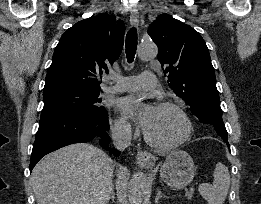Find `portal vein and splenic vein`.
Listing matches in <instances>:
<instances>
[{
  "mask_svg": "<svg viewBox=\"0 0 261 204\" xmlns=\"http://www.w3.org/2000/svg\"><path fill=\"white\" fill-rule=\"evenodd\" d=\"M193 194H194V187H190V188L187 190L185 196L187 197L188 200H191L192 197H193Z\"/></svg>",
  "mask_w": 261,
  "mask_h": 204,
  "instance_id": "18ae733b",
  "label": "portal vein and splenic vein"
}]
</instances>
